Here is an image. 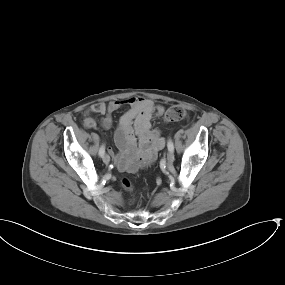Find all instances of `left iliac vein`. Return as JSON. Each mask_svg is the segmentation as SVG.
<instances>
[{
  "mask_svg": "<svg viewBox=\"0 0 285 285\" xmlns=\"http://www.w3.org/2000/svg\"><path fill=\"white\" fill-rule=\"evenodd\" d=\"M166 159H167L168 165H171L174 162L175 157H174L173 151H171V150L168 151Z\"/></svg>",
  "mask_w": 285,
  "mask_h": 285,
  "instance_id": "1",
  "label": "left iliac vein"
}]
</instances>
